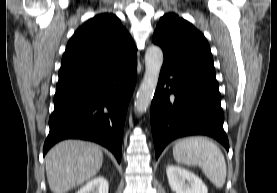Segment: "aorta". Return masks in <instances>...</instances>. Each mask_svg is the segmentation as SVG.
<instances>
[{
	"label": "aorta",
	"mask_w": 277,
	"mask_h": 193,
	"mask_svg": "<svg viewBox=\"0 0 277 193\" xmlns=\"http://www.w3.org/2000/svg\"><path fill=\"white\" fill-rule=\"evenodd\" d=\"M162 64L163 52L161 48L155 45L148 47L145 53V74L134 101L136 112H146L151 104Z\"/></svg>",
	"instance_id": "762f6f07"
}]
</instances>
